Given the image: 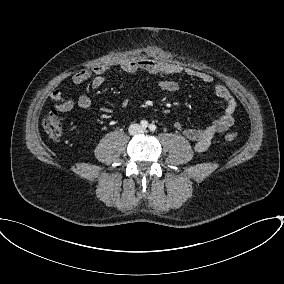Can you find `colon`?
<instances>
[{
  "label": "colon",
  "instance_id": "5ec220e1",
  "mask_svg": "<svg viewBox=\"0 0 284 284\" xmlns=\"http://www.w3.org/2000/svg\"><path fill=\"white\" fill-rule=\"evenodd\" d=\"M42 126L46 133L51 137L58 138L63 134V119L61 115L55 111H50L42 121ZM237 135L235 133H228L225 136L227 142H233L236 140Z\"/></svg>",
  "mask_w": 284,
  "mask_h": 284
}]
</instances>
